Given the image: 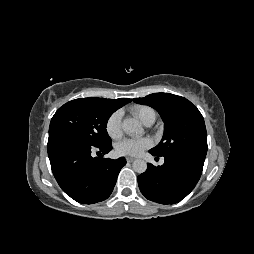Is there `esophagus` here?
Here are the masks:
<instances>
[{"mask_svg":"<svg viewBox=\"0 0 254 254\" xmlns=\"http://www.w3.org/2000/svg\"><path fill=\"white\" fill-rule=\"evenodd\" d=\"M134 160H135V158H133V157H126L127 162H133Z\"/></svg>","mask_w":254,"mask_h":254,"instance_id":"34e87169","label":"esophagus"}]
</instances>
